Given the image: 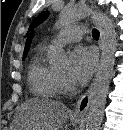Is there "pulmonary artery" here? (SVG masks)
Listing matches in <instances>:
<instances>
[{
	"label": "pulmonary artery",
	"instance_id": "e3ab8cb5",
	"mask_svg": "<svg viewBox=\"0 0 123 130\" xmlns=\"http://www.w3.org/2000/svg\"><path fill=\"white\" fill-rule=\"evenodd\" d=\"M85 33V30L80 26H69L63 29L50 41L53 47L80 41Z\"/></svg>",
	"mask_w": 123,
	"mask_h": 130
}]
</instances>
